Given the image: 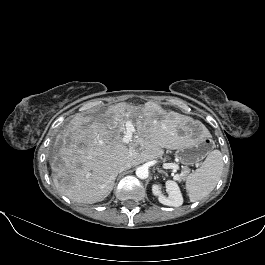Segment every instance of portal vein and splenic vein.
<instances>
[{
  "label": "portal vein and splenic vein",
  "instance_id": "18ae733b",
  "mask_svg": "<svg viewBox=\"0 0 265 265\" xmlns=\"http://www.w3.org/2000/svg\"><path fill=\"white\" fill-rule=\"evenodd\" d=\"M135 127L131 122H127L126 126H125V134L123 136V142L124 143H129L132 138H133V133L135 132ZM164 169H173V170H177L178 166L174 163H165L163 165ZM176 178H179V175H175Z\"/></svg>",
  "mask_w": 265,
  "mask_h": 265
}]
</instances>
